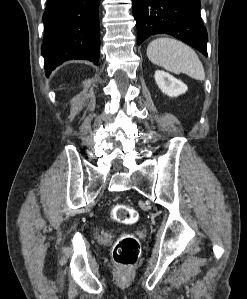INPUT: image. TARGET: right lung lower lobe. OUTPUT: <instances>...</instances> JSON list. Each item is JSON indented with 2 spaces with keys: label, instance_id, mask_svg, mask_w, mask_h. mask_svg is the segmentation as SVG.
<instances>
[{
  "label": "right lung lower lobe",
  "instance_id": "98d812e1",
  "mask_svg": "<svg viewBox=\"0 0 247 299\" xmlns=\"http://www.w3.org/2000/svg\"><path fill=\"white\" fill-rule=\"evenodd\" d=\"M99 3L100 0H47L41 48L47 76L71 59L98 64Z\"/></svg>",
  "mask_w": 247,
  "mask_h": 299
}]
</instances>
